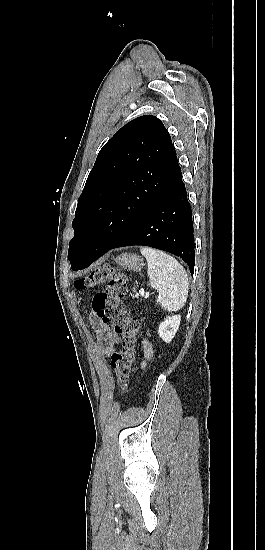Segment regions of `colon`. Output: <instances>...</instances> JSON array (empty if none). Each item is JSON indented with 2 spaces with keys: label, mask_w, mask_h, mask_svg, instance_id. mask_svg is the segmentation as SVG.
Segmentation results:
<instances>
[{
  "label": "colon",
  "mask_w": 265,
  "mask_h": 550,
  "mask_svg": "<svg viewBox=\"0 0 265 550\" xmlns=\"http://www.w3.org/2000/svg\"><path fill=\"white\" fill-rule=\"evenodd\" d=\"M74 285L78 290L104 285V289L94 295L92 307L96 315L123 338L120 348L111 356L110 368L118 386L126 389L140 332L139 322L129 316L122 301L127 288L126 276L119 268L106 264L76 279Z\"/></svg>",
  "instance_id": "1"
}]
</instances>
